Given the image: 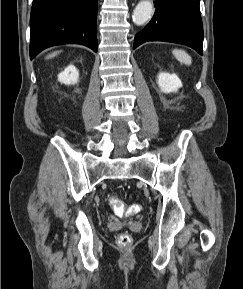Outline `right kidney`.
Returning a JSON list of instances; mask_svg holds the SVG:
<instances>
[{
    "mask_svg": "<svg viewBox=\"0 0 243 289\" xmlns=\"http://www.w3.org/2000/svg\"><path fill=\"white\" fill-rule=\"evenodd\" d=\"M79 79V71L74 65H69L58 75V81L66 85L76 84Z\"/></svg>",
    "mask_w": 243,
    "mask_h": 289,
    "instance_id": "ca27d5eb",
    "label": "right kidney"
}]
</instances>
